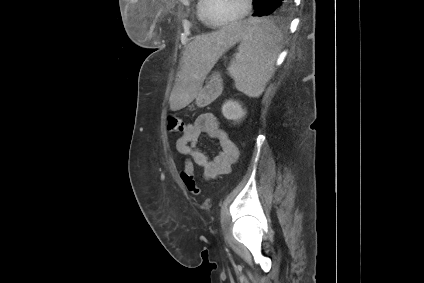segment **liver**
Segmentation results:
<instances>
[{
    "mask_svg": "<svg viewBox=\"0 0 424 283\" xmlns=\"http://www.w3.org/2000/svg\"><path fill=\"white\" fill-rule=\"evenodd\" d=\"M246 31L245 22L231 23L212 33L196 36L186 45L179 78L169 98L171 110H180L191 103L219 57L240 41Z\"/></svg>",
    "mask_w": 424,
    "mask_h": 283,
    "instance_id": "liver-1",
    "label": "liver"
}]
</instances>
